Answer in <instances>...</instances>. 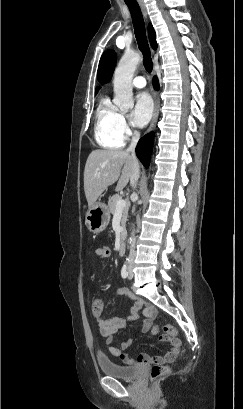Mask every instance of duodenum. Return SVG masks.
<instances>
[{"instance_id":"duodenum-1","label":"duodenum","mask_w":243,"mask_h":409,"mask_svg":"<svg viewBox=\"0 0 243 409\" xmlns=\"http://www.w3.org/2000/svg\"><path fill=\"white\" fill-rule=\"evenodd\" d=\"M118 252H119V255H121V256H123V255H125V253H126V244H125V242H120V244H119V246H118Z\"/></svg>"}]
</instances>
